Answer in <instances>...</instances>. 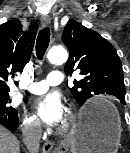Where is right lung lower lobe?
Listing matches in <instances>:
<instances>
[{
  "instance_id": "right-lung-lower-lobe-1",
  "label": "right lung lower lobe",
  "mask_w": 130,
  "mask_h": 153,
  "mask_svg": "<svg viewBox=\"0 0 130 153\" xmlns=\"http://www.w3.org/2000/svg\"><path fill=\"white\" fill-rule=\"evenodd\" d=\"M0 124L7 127L10 131H15L19 124L17 113L11 114L0 109Z\"/></svg>"
}]
</instances>
